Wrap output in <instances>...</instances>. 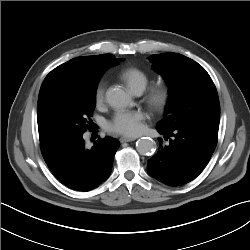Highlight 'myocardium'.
<instances>
[{
  "label": "myocardium",
  "instance_id": "obj_1",
  "mask_svg": "<svg viewBox=\"0 0 250 250\" xmlns=\"http://www.w3.org/2000/svg\"><path fill=\"white\" fill-rule=\"evenodd\" d=\"M171 99V91L167 85L159 84L151 87L145 96L148 105L155 111H163Z\"/></svg>",
  "mask_w": 250,
  "mask_h": 250
}]
</instances>
